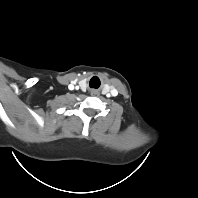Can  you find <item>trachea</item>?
Segmentation results:
<instances>
[{"label": "trachea", "mask_w": 198, "mask_h": 198, "mask_svg": "<svg viewBox=\"0 0 198 198\" xmlns=\"http://www.w3.org/2000/svg\"><path fill=\"white\" fill-rule=\"evenodd\" d=\"M91 88H98L100 86V80L98 77H93L89 83Z\"/></svg>", "instance_id": "trachea-1"}]
</instances>
